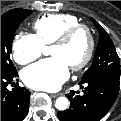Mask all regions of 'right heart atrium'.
<instances>
[{"label": "right heart atrium", "mask_w": 121, "mask_h": 121, "mask_svg": "<svg viewBox=\"0 0 121 121\" xmlns=\"http://www.w3.org/2000/svg\"><path fill=\"white\" fill-rule=\"evenodd\" d=\"M44 45L34 34H19L12 43L14 60L21 65L28 64L43 53Z\"/></svg>", "instance_id": "1"}]
</instances>
